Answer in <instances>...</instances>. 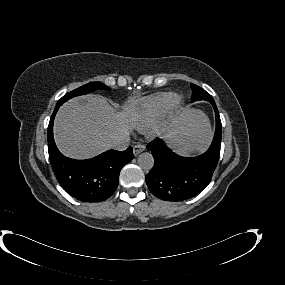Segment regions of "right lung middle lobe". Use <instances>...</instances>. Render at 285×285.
I'll list each match as a JSON object with an SVG mask.
<instances>
[{"label": "right lung middle lobe", "mask_w": 285, "mask_h": 285, "mask_svg": "<svg viewBox=\"0 0 285 285\" xmlns=\"http://www.w3.org/2000/svg\"><path fill=\"white\" fill-rule=\"evenodd\" d=\"M97 89L108 90L109 88L107 86H105L104 84H102L101 82H91V83L83 85V86L67 93L66 95H64L58 101L57 105H62L64 102H66L67 100H69L75 96L84 95V94H87V93L94 91V90H97Z\"/></svg>", "instance_id": "1"}]
</instances>
